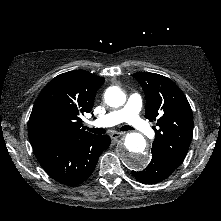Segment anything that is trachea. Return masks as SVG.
Here are the masks:
<instances>
[{
    "instance_id": "obj_1",
    "label": "trachea",
    "mask_w": 221,
    "mask_h": 221,
    "mask_svg": "<svg viewBox=\"0 0 221 221\" xmlns=\"http://www.w3.org/2000/svg\"><path fill=\"white\" fill-rule=\"evenodd\" d=\"M88 131L94 133V134H105L106 130L104 128H87ZM121 131H129V130H134L132 127L130 126H123L120 129Z\"/></svg>"
}]
</instances>
